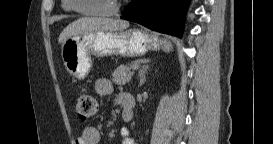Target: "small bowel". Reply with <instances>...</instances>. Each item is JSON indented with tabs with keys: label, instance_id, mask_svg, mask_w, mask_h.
Returning a JSON list of instances; mask_svg holds the SVG:
<instances>
[{
	"label": "small bowel",
	"instance_id": "1",
	"mask_svg": "<svg viewBox=\"0 0 273 144\" xmlns=\"http://www.w3.org/2000/svg\"><path fill=\"white\" fill-rule=\"evenodd\" d=\"M95 90L101 96H108L113 91V85L109 78L100 77L95 82ZM99 141H100L99 131L94 127H86L83 130L82 134L76 138L74 144H98ZM122 143L123 144L134 143L133 139L129 135V130L127 128L122 129Z\"/></svg>",
	"mask_w": 273,
	"mask_h": 144
}]
</instances>
